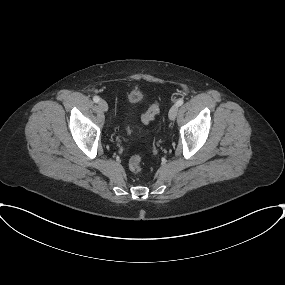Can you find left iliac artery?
Listing matches in <instances>:
<instances>
[{
	"label": "left iliac artery",
	"instance_id": "left-iliac-artery-1",
	"mask_svg": "<svg viewBox=\"0 0 285 285\" xmlns=\"http://www.w3.org/2000/svg\"><path fill=\"white\" fill-rule=\"evenodd\" d=\"M183 102H184L183 99H179V100H177L175 105L179 107L183 104Z\"/></svg>",
	"mask_w": 285,
	"mask_h": 285
}]
</instances>
